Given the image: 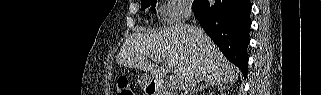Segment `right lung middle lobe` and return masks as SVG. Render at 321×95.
Segmentation results:
<instances>
[{"instance_id": "dd1d6c3e", "label": "right lung middle lobe", "mask_w": 321, "mask_h": 95, "mask_svg": "<svg viewBox=\"0 0 321 95\" xmlns=\"http://www.w3.org/2000/svg\"><path fill=\"white\" fill-rule=\"evenodd\" d=\"M157 0H141V8L142 10L146 9L149 6H152V10L154 13H156L155 6H156ZM200 0H194L192 6L193 8H196L199 4Z\"/></svg>"}]
</instances>
